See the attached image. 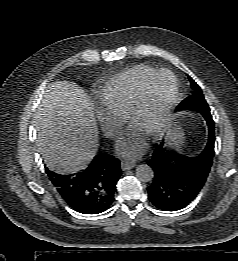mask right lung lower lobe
<instances>
[{"label":"right lung lower lobe","mask_w":238,"mask_h":261,"mask_svg":"<svg viewBox=\"0 0 238 261\" xmlns=\"http://www.w3.org/2000/svg\"><path fill=\"white\" fill-rule=\"evenodd\" d=\"M46 172L67 204L83 214H98L111 206L121 175L120 161L111 155H96L77 173L56 174L47 167Z\"/></svg>","instance_id":"right-lung-lower-lobe-1"}]
</instances>
